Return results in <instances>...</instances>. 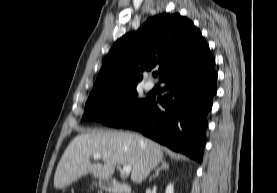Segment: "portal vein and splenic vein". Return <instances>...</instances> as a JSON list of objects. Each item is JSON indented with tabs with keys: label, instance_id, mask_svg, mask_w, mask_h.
I'll list each match as a JSON object with an SVG mask.
<instances>
[{
	"label": "portal vein and splenic vein",
	"instance_id": "obj_1",
	"mask_svg": "<svg viewBox=\"0 0 277 193\" xmlns=\"http://www.w3.org/2000/svg\"><path fill=\"white\" fill-rule=\"evenodd\" d=\"M93 158H94V159H100V158H101V154H100V153H95V154L93 155ZM122 172H123L124 174H130V172H131V167H130V166H123Z\"/></svg>",
	"mask_w": 277,
	"mask_h": 193
}]
</instances>
